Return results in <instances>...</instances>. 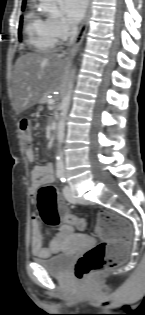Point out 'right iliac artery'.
<instances>
[{"label": "right iliac artery", "mask_w": 145, "mask_h": 315, "mask_svg": "<svg viewBox=\"0 0 145 315\" xmlns=\"http://www.w3.org/2000/svg\"><path fill=\"white\" fill-rule=\"evenodd\" d=\"M62 177V174H58V178H61Z\"/></svg>", "instance_id": "obj_1"}]
</instances>
